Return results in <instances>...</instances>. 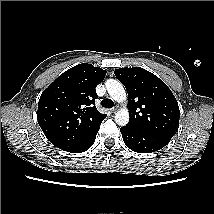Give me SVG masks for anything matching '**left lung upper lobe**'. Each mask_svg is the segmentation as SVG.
I'll return each mask as SVG.
<instances>
[{
    "label": "left lung upper lobe",
    "mask_w": 214,
    "mask_h": 214,
    "mask_svg": "<svg viewBox=\"0 0 214 214\" xmlns=\"http://www.w3.org/2000/svg\"><path fill=\"white\" fill-rule=\"evenodd\" d=\"M115 76L128 92L129 128L172 138L179 128V106L168 86L140 68H120Z\"/></svg>",
    "instance_id": "1"
}]
</instances>
